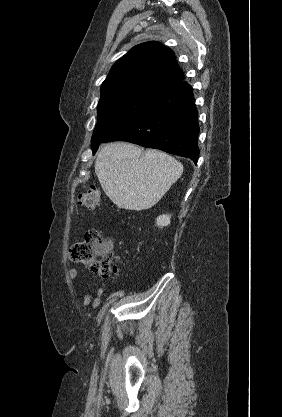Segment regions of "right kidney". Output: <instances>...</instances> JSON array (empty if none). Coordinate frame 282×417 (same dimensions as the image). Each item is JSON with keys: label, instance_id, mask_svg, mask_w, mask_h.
I'll use <instances>...</instances> for the list:
<instances>
[{"label": "right kidney", "instance_id": "ca27d5eb", "mask_svg": "<svg viewBox=\"0 0 282 417\" xmlns=\"http://www.w3.org/2000/svg\"><path fill=\"white\" fill-rule=\"evenodd\" d=\"M170 219L171 215H159V217L156 219L157 227H160V229L167 227V225H170Z\"/></svg>", "mask_w": 282, "mask_h": 417}]
</instances>
